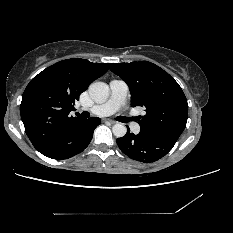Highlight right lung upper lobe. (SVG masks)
<instances>
[{"label":"right lung upper lobe","instance_id":"right-lung-upper-lobe-1","mask_svg":"<svg viewBox=\"0 0 233 233\" xmlns=\"http://www.w3.org/2000/svg\"><path fill=\"white\" fill-rule=\"evenodd\" d=\"M109 63L73 58L55 63L27 85L20 105L25 132L34 147L44 144L81 119L70 116L75 101L90 83L104 75Z\"/></svg>","mask_w":233,"mask_h":233}]
</instances>
